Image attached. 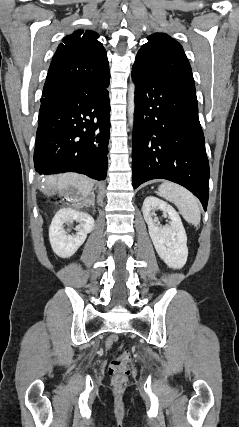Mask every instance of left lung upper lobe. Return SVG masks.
Masks as SVG:
<instances>
[{
	"label": "left lung upper lobe",
	"mask_w": 239,
	"mask_h": 427,
	"mask_svg": "<svg viewBox=\"0 0 239 427\" xmlns=\"http://www.w3.org/2000/svg\"><path fill=\"white\" fill-rule=\"evenodd\" d=\"M134 65L195 90L194 79L182 46L165 33L148 37L136 56Z\"/></svg>",
	"instance_id": "1"
}]
</instances>
